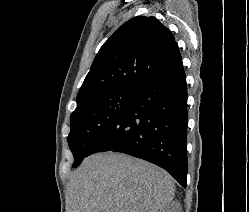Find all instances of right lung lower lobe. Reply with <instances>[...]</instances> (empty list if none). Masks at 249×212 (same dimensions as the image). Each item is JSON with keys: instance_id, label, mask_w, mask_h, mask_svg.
<instances>
[{"instance_id": "right-lung-lower-lobe-1", "label": "right lung lower lobe", "mask_w": 249, "mask_h": 212, "mask_svg": "<svg viewBox=\"0 0 249 212\" xmlns=\"http://www.w3.org/2000/svg\"><path fill=\"white\" fill-rule=\"evenodd\" d=\"M187 87L183 65L139 90L91 147L154 163L182 187L187 175Z\"/></svg>"}]
</instances>
